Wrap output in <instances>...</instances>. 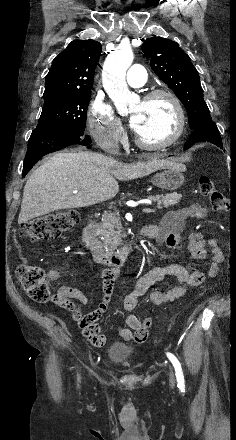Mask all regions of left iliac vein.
<instances>
[{
	"mask_svg": "<svg viewBox=\"0 0 236 440\" xmlns=\"http://www.w3.org/2000/svg\"><path fill=\"white\" fill-rule=\"evenodd\" d=\"M169 382H170V385H171L172 387H174V385H175V375H174V371H173L172 368H170Z\"/></svg>",
	"mask_w": 236,
	"mask_h": 440,
	"instance_id": "left-iliac-vein-1",
	"label": "left iliac vein"
}]
</instances>
